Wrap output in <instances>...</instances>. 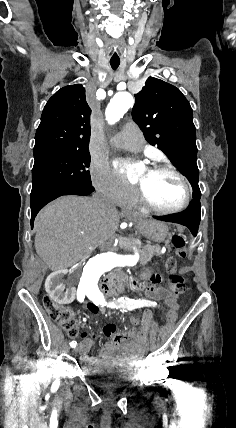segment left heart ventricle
Returning a JSON list of instances; mask_svg holds the SVG:
<instances>
[{"label": "left heart ventricle", "instance_id": "obj_1", "mask_svg": "<svg viewBox=\"0 0 236 428\" xmlns=\"http://www.w3.org/2000/svg\"><path fill=\"white\" fill-rule=\"evenodd\" d=\"M132 179L145 189L153 202L163 208L176 207L183 201L182 183L170 172H151L143 167Z\"/></svg>", "mask_w": 236, "mask_h": 428}]
</instances>
